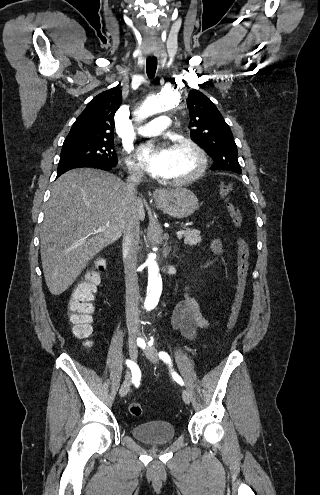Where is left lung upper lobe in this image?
Wrapping results in <instances>:
<instances>
[{
	"label": "left lung upper lobe",
	"instance_id": "left-lung-upper-lobe-1",
	"mask_svg": "<svg viewBox=\"0 0 320 495\" xmlns=\"http://www.w3.org/2000/svg\"><path fill=\"white\" fill-rule=\"evenodd\" d=\"M187 107L191 138L213 158L212 170L242 173L233 134L215 104L193 89L189 92Z\"/></svg>",
	"mask_w": 320,
	"mask_h": 495
}]
</instances>
